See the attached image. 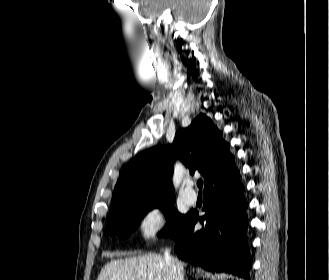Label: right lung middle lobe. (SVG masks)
Returning a JSON list of instances; mask_svg holds the SVG:
<instances>
[{
  "mask_svg": "<svg viewBox=\"0 0 329 280\" xmlns=\"http://www.w3.org/2000/svg\"><path fill=\"white\" fill-rule=\"evenodd\" d=\"M174 197L154 196L144 197L126 204V206L109 213L106 227L113 236L118 235L124 239L130 235L140 224L141 219L153 208H162L168 213L169 219L159 236H173L188 218L173 207Z\"/></svg>",
  "mask_w": 329,
  "mask_h": 280,
  "instance_id": "right-lung-middle-lobe-1",
  "label": "right lung middle lobe"
}]
</instances>
